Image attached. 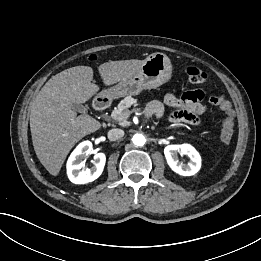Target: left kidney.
<instances>
[{
  "mask_svg": "<svg viewBox=\"0 0 261 261\" xmlns=\"http://www.w3.org/2000/svg\"><path fill=\"white\" fill-rule=\"evenodd\" d=\"M178 153L187 155L190 161L187 164L181 162ZM164 155L169 167L179 175L192 176L201 168V157L196 149L189 144L168 145L164 149Z\"/></svg>",
  "mask_w": 261,
  "mask_h": 261,
  "instance_id": "obj_1",
  "label": "left kidney"
}]
</instances>
